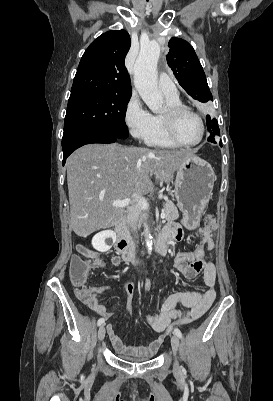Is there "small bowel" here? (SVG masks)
Segmentation results:
<instances>
[{
	"label": "small bowel",
	"instance_id": "1",
	"mask_svg": "<svg viewBox=\"0 0 273 401\" xmlns=\"http://www.w3.org/2000/svg\"><path fill=\"white\" fill-rule=\"evenodd\" d=\"M204 221L206 224L199 231V242L196 248L191 251L178 252L174 256L173 264L175 269L189 280H194L201 276L205 288L203 290L176 292L168 295L158 312L146 317V322L156 333L164 334L174 323L185 324L200 318L207 312L216 298V267L213 262L205 259L206 251L211 250L214 246V223L216 218L214 215H206ZM162 233L171 239H180L184 236V229L169 225L163 229ZM83 254L87 257V260H90L92 267L98 268L105 265L104 261L95 253L84 249ZM111 263L119 265L121 258L112 256ZM108 287L109 285L103 284V291ZM124 287L129 299H131L135 293L134 286L129 281H124ZM103 291H98L97 284H88L87 290H77L74 302L75 304H84L100 319L108 321L113 313L100 304L98 300L99 294ZM129 315H131L130 306ZM105 329L116 352L123 355L133 354L140 357H149L156 350V344L163 345L165 343V338L158 336L155 339L156 344L151 343L146 346L133 347L123 343L113 324L107 323Z\"/></svg>",
	"mask_w": 273,
	"mask_h": 401
}]
</instances>
